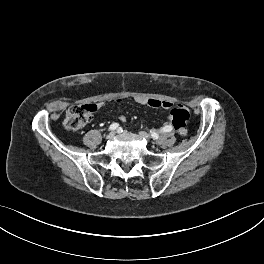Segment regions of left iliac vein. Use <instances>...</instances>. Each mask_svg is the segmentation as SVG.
Listing matches in <instances>:
<instances>
[{
  "instance_id": "1",
  "label": "left iliac vein",
  "mask_w": 264,
  "mask_h": 264,
  "mask_svg": "<svg viewBox=\"0 0 264 264\" xmlns=\"http://www.w3.org/2000/svg\"><path fill=\"white\" fill-rule=\"evenodd\" d=\"M139 135H140L142 138L146 139V140H149V139H150L149 134L146 133V132H140Z\"/></svg>"
}]
</instances>
